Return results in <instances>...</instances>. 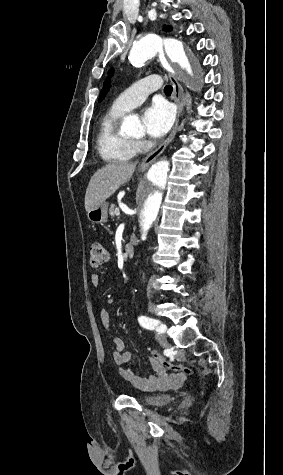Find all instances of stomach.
Listing matches in <instances>:
<instances>
[{
	"instance_id": "stomach-1",
	"label": "stomach",
	"mask_w": 283,
	"mask_h": 475,
	"mask_svg": "<svg viewBox=\"0 0 283 475\" xmlns=\"http://www.w3.org/2000/svg\"><path fill=\"white\" fill-rule=\"evenodd\" d=\"M140 172H145L143 168H140ZM108 204L107 202H103L101 206H98V208H95V210H91V212H88L87 218L92 222V224H104V222H107L108 214Z\"/></svg>"
}]
</instances>
